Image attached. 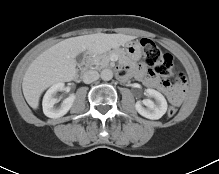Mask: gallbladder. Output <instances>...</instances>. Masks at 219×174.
I'll return each instance as SVG.
<instances>
[{
  "label": "gallbladder",
  "mask_w": 219,
  "mask_h": 174,
  "mask_svg": "<svg viewBox=\"0 0 219 174\" xmlns=\"http://www.w3.org/2000/svg\"><path fill=\"white\" fill-rule=\"evenodd\" d=\"M82 59H83V55H82V54H79V55L76 57L77 63H81Z\"/></svg>",
  "instance_id": "gallbladder-1"
}]
</instances>
